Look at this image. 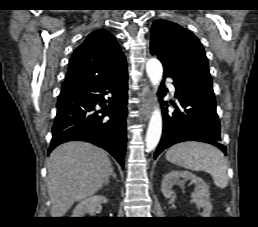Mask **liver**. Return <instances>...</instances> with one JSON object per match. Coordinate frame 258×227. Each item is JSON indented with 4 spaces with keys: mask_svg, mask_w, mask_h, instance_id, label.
<instances>
[{
    "mask_svg": "<svg viewBox=\"0 0 258 227\" xmlns=\"http://www.w3.org/2000/svg\"><path fill=\"white\" fill-rule=\"evenodd\" d=\"M111 168L107 153L86 142H67L53 150L47 160L52 217H63L75 202L97 192Z\"/></svg>",
    "mask_w": 258,
    "mask_h": 227,
    "instance_id": "6515ba94",
    "label": "liver"
}]
</instances>
